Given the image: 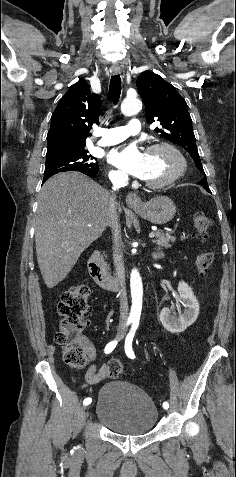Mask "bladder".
<instances>
[{"mask_svg":"<svg viewBox=\"0 0 236 477\" xmlns=\"http://www.w3.org/2000/svg\"><path fill=\"white\" fill-rule=\"evenodd\" d=\"M98 422L113 433L140 436L151 432L158 421V410L139 386L122 380L104 383L95 400Z\"/></svg>","mask_w":236,"mask_h":477,"instance_id":"1","label":"bladder"}]
</instances>
